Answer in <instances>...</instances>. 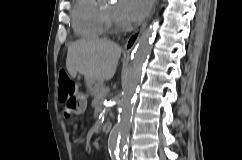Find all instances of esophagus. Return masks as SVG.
Segmentation results:
<instances>
[{"label": "esophagus", "mask_w": 242, "mask_h": 160, "mask_svg": "<svg viewBox=\"0 0 242 160\" xmlns=\"http://www.w3.org/2000/svg\"><path fill=\"white\" fill-rule=\"evenodd\" d=\"M153 14V12L151 13V15ZM151 18V16L149 17V19ZM149 19L141 26V28L137 31H135L133 34H131L129 36V38L126 40V43L124 45V49L126 52H130L133 47L135 46L136 42L138 41L140 34L142 33V31L144 30V28L146 27Z\"/></svg>", "instance_id": "obj_1"}]
</instances>
